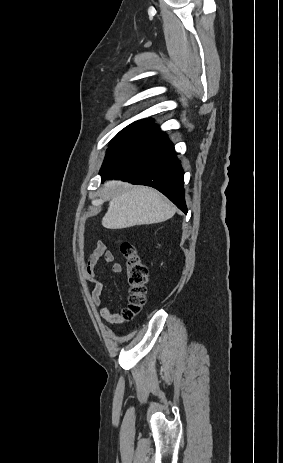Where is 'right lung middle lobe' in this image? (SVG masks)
<instances>
[{
    "label": "right lung middle lobe",
    "instance_id": "obj_1",
    "mask_svg": "<svg viewBox=\"0 0 283 463\" xmlns=\"http://www.w3.org/2000/svg\"><path fill=\"white\" fill-rule=\"evenodd\" d=\"M152 122H148V123H145L143 122L142 120L140 121H136L132 124H130L129 126H127L126 128H124L123 130H121L116 136L115 138L112 140L111 144L110 145H113L115 144L116 142H118L119 140L123 139L124 137L140 130V129H143L147 126H149Z\"/></svg>",
    "mask_w": 283,
    "mask_h": 463
}]
</instances>
